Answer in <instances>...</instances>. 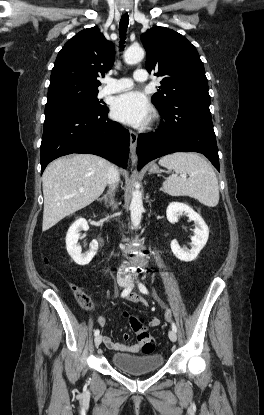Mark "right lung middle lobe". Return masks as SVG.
I'll return each instance as SVG.
<instances>
[{
  "label": "right lung middle lobe",
  "mask_w": 264,
  "mask_h": 415,
  "mask_svg": "<svg viewBox=\"0 0 264 415\" xmlns=\"http://www.w3.org/2000/svg\"><path fill=\"white\" fill-rule=\"evenodd\" d=\"M98 92H71L48 98L45 114L63 110L99 111L105 106L97 99Z\"/></svg>",
  "instance_id": "dd1d6c3e"
}]
</instances>
